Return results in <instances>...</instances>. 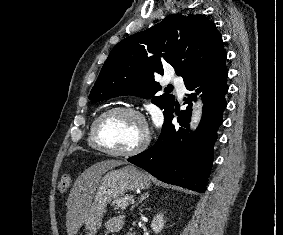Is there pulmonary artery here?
Instances as JSON below:
<instances>
[{
  "instance_id": "1",
  "label": "pulmonary artery",
  "mask_w": 283,
  "mask_h": 235,
  "mask_svg": "<svg viewBox=\"0 0 283 235\" xmlns=\"http://www.w3.org/2000/svg\"><path fill=\"white\" fill-rule=\"evenodd\" d=\"M170 82L180 92H184L185 91L184 83L180 79L173 78V79L170 80Z\"/></svg>"
}]
</instances>
